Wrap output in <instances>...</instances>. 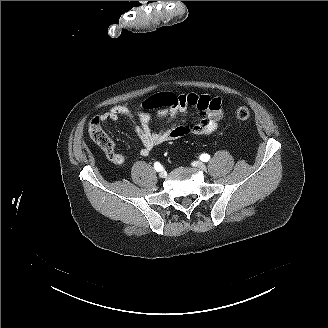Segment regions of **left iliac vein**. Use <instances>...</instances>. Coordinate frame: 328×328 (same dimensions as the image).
<instances>
[{
	"label": "left iliac vein",
	"mask_w": 328,
	"mask_h": 328,
	"mask_svg": "<svg viewBox=\"0 0 328 328\" xmlns=\"http://www.w3.org/2000/svg\"><path fill=\"white\" fill-rule=\"evenodd\" d=\"M192 165L194 167L199 168V169L204 170V171L207 169L206 165L203 162H200V161H194L192 163Z\"/></svg>",
	"instance_id": "left-iliac-vein-1"
}]
</instances>
